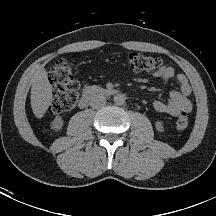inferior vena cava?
I'll return each instance as SVG.
<instances>
[{"label": "inferior vena cava", "instance_id": "inferior-vena-cava-1", "mask_svg": "<svg viewBox=\"0 0 216 216\" xmlns=\"http://www.w3.org/2000/svg\"><path fill=\"white\" fill-rule=\"evenodd\" d=\"M89 104L93 108H101L106 104V98L100 94L93 95L90 98Z\"/></svg>", "mask_w": 216, "mask_h": 216}]
</instances>
